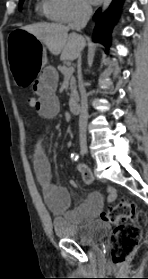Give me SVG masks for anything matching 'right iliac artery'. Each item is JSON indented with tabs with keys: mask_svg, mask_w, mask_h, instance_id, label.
<instances>
[{
	"mask_svg": "<svg viewBox=\"0 0 148 279\" xmlns=\"http://www.w3.org/2000/svg\"><path fill=\"white\" fill-rule=\"evenodd\" d=\"M71 158L76 161L79 159V155L76 153H73V154H71Z\"/></svg>",
	"mask_w": 148,
	"mask_h": 279,
	"instance_id": "obj_1",
	"label": "right iliac artery"
}]
</instances>
